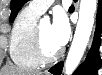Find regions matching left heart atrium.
<instances>
[{"instance_id": "obj_1", "label": "left heart atrium", "mask_w": 102, "mask_h": 75, "mask_svg": "<svg viewBox=\"0 0 102 75\" xmlns=\"http://www.w3.org/2000/svg\"><path fill=\"white\" fill-rule=\"evenodd\" d=\"M51 35L59 48L64 46L70 37V24L67 15L61 9H57L54 13Z\"/></svg>"}]
</instances>
